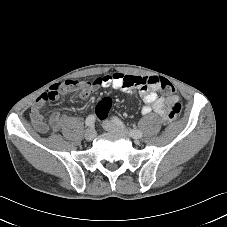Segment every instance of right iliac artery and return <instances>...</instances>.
<instances>
[{
  "label": "right iliac artery",
  "instance_id": "right-iliac-artery-1",
  "mask_svg": "<svg viewBox=\"0 0 227 227\" xmlns=\"http://www.w3.org/2000/svg\"><path fill=\"white\" fill-rule=\"evenodd\" d=\"M95 123V116L94 115H89L86 120H85V125L87 127H92Z\"/></svg>",
  "mask_w": 227,
  "mask_h": 227
}]
</instances>
